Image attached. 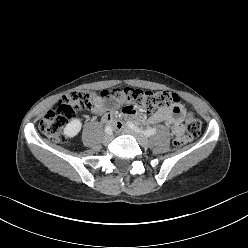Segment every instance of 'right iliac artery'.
<instances>
[{
    "instance_id": "1",
    "label": "right iliac artery",
    "mask_w": 248,
    "mask_h": 248,
    "mask_svg": "<svg viewBox=\"0 0 248 248\" xmlns=\"http://www.w3.org/2000/svg\"><path fill=\"white\" fill-rule=\"evenodd\" d=\"M105 132H106L107 134H112V128H111V126L107 125V126L105 127Z\"/></svg>"
}]
</instances>
